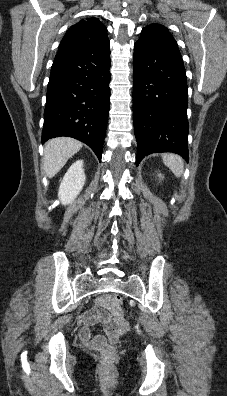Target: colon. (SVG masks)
Segmentation results:
<instances>
[{"mask_svg": "<svg viewBox=\"0 0 227 396\" xmlns=\"http://www.w3.org/2000/svg\"><path fill=\"white\" fill-rule=\"evenodd\" d=\"M124 299L122 297V295L120 294H116L113 297V304L115 307L119 308L123 305ZM103 360L106 364H109L110 362H112L114 355H115V348L111 345H107L104 349H103Z\"/></svg>", "mask_w": 227, "mask_h": 396, "instance_id": "5ec220e1", "label": "colon"}]
</instances>
